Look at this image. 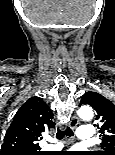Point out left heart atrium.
<instances>
[{"label": "left heart atrium", "mask_w": 115, "mask_h": 155, "mask_svg": "<svg viewBox=\"0 0 115 155\" xmlns=\"http://www.w3.org/2000/svg\"><path fill=\"white\" fill-rule=\"evenodd\" d=\"M66 155H80V154H78L76 151H72V152H70L69 154H66Z\"/></svg>", "instance_id": "left-heart-atrium-1"}]
</instances>
